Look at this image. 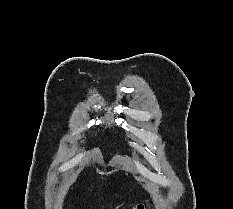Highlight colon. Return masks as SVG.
<instances>
[{"label": "colon", "instance_id": "1", "mask_svg": "<svg viewBox=\"0 0 233 209\" xmlns=\"http://www.w3.org/2000/svg\"><path fill=\"white\" fill-rule=\"evenodd\" d=\"M137 209H145V208H144V205H143V204H139V205L137 206Z\"/></svg>", "mask_w": 233, "mask_h": 209}]
</instances>
